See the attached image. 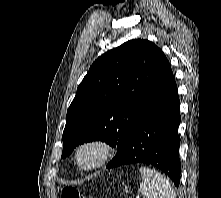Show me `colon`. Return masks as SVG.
<instances>
[{"mask_svg": "<svg viewBox=\"0 0 221 198\" xmlns=\"http://www.w3.org/2000/svg\"><path fill=\"white\" fill-rule=\"evenodd\" d=\"M62 198H85L76 188L74 187H63L61 189Z\"/></svg>", "mask_w": 221, "mask_h": 198, "instance_id": "5ec220e1", "label": "colon"}]
</instances>
